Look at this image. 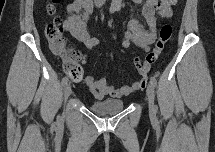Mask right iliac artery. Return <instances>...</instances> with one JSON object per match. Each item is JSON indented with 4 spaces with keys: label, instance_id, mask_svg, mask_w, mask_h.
Returning a JSON list of instances; mask_svg holds the SVG:
<instances>
[{
    "label": "right iliac artery",
    "instance_id": "obj_1",
    "mask_svg": "<svg viewBox=\"0 0 215 152\" xmlns=\"http://www.w3.org/2000/svg\"><path fill=\"white\" fill-rule=\"evenodd\" d=\"M110 12L113 13L114 12V9H110ZM68 83V77H64L62 79V86L65 87V85Z\"/></svg>",
    "mask_w": 215,
    "mask_h": 152
}]
</instances>
